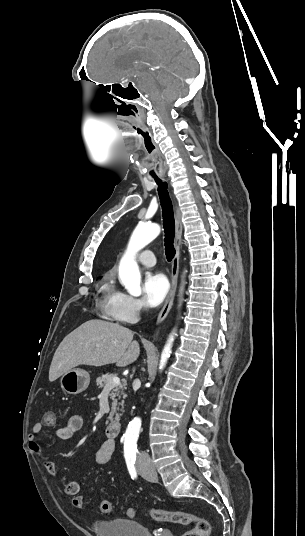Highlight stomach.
<instances>
[{
	"mask_svg": "<svg viewBox=\"0 0 305 536\" xmlns=\"http://www.w3.org/2000/svg\"><path fill=\"white\" fill-rule=\"evenodd\" d=\"M90 384V376L85 370L73 368L66 374H62L60 378V386L67 394H80L87 390Z\"/></svg>",
	"mask_w": 305,
	"mask_h": 536,
	"instance_id": "obj_1",
	"label": "stomach"
}]
</instances>
